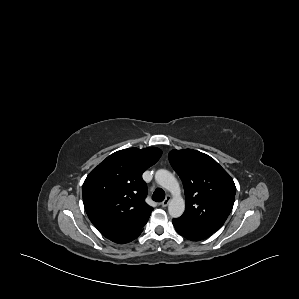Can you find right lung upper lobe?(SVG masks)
I'll return each mask as SVG.
<instances>
[{
  "label": "right lung upper lobe",
  "instance_id": "right-lung-upper-lobe-1",
  "mask_svg": "<svg viewBox=\"0 0 299 299\" xmlns=\"http://www.w3.org/2000/svg\"><path fill=\"white\" fill-rule=\"evenodd\" d=\"M155 147L117 151L102 161L83 184V203L93 225L108 239L133 234L153 208L145 203L142 173L161 157Z\"/></svg>",
  "mask_w": 299,
  "mask_h": 299
}]
</instances>
